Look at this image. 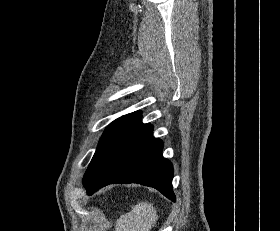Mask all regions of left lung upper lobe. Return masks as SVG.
Returning a JSON list of instances; mask_svg holds the SVG:
<instances>
[{
	"instance_id": "5c2ea615",
	"label": "left lung upper lobe",
	"mask_w": 280,
	"mask_h": 231,
	"mask_svg": "<svg viewBox=\"0 0 280 231\" xmlns=\"http://www.w3.org/2000/svg\"><path fill=\"white\" fill-rule=\"evenodd\" d=\"M141 119V113L140 112H133L127 115H124L115 121H113L104 131L100 141L99 145L97 147V150L94 154V156L99 152V150L104 146V144L116 133H118L123 128L127 127L130 124H133ZM94 158V157H93Z\"/></svg>"
}]
</instances>
